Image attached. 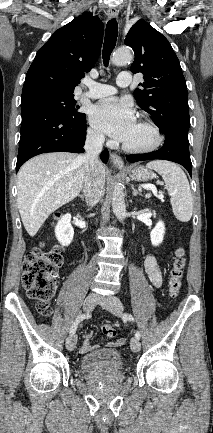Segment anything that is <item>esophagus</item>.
Here are the masks:
<instances>
[{"label":"esophagus","instance_id":"34e87169","mask_svg":"<svg viewBox=\"0 0 213 433\" xmlns=\"http://www.w3.org/2000/svg\"><path fill=\"white\" fill-rule=\"evenodd\" d=\"M107 16H108L110 19H112V18H116V17L118 16V10H117L116 8H109V9L107 10ZM110 159H111V162H112L115 166H117V167H119V168L124 167V161H123V159H122L118 154H116V153H111V154H110Z\"/></svg>","mask_w":213,"mask_h":433}]
</instances>
